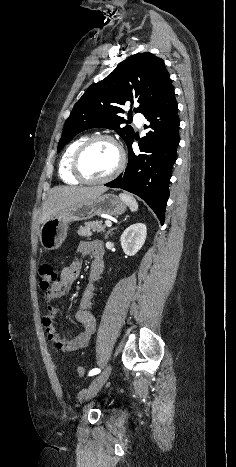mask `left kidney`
Returning a JSON list of instances; mask_svg holds the SVG:
<instances>
[{
  "label": "left kidney",
  "mask_w": 236,
  "mask_h": 467,
  "mask_svg": "<svg viewBox=\"0 0 236 467\" xmlns=\"http://www.w3.org/2000/svg\"><path fill=\"white\" fill-rule=\"evenodd\" d=\"M147 228L143 223L129 226L121 235L120 242L123 251L128 256H134L146 240Z\"/></svg>",
  "instance_id": "obj_1"
}]
</instances>
